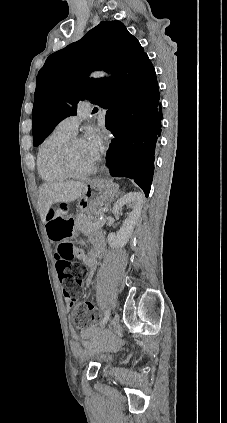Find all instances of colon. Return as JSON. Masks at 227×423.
Wrapping results in <instances>:
<instances>
[{
    "label": "colon",
    "instance_id": "5ec220e1",
    "mask_svg": "<svg viewBox=\"0 0 227 423\" xmlns=\"http://www.w3.org/2000/svg\"><path fill=\"white\" fill-rule=\"evenodd\" d=\"M55 217L54 213H52L49 220ZM72 230L71 222H62L53 227L51 234L57 244L55 250L56 269L64 297L76 300L79 297V287L83 283L87 272L81 264L74 262L75 248L69 242ZM73 320L80 328L94 327L96 322L94 305L90 302L78 304L73 313Z\"/></svg>",
    "mask_w": 227,
    "mask_h": 423
}]
</instances>
